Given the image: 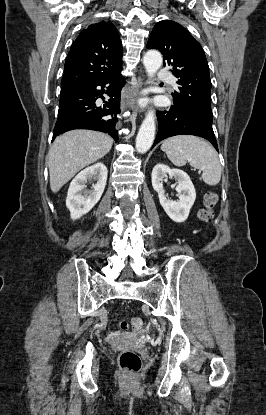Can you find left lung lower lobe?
Here are the masks:
<instances>
[{"instance_id": "0a47b994", "label": "left lung lower lobe", "mask_w": 266, "mask_h": 415, "mask_svg": "<svg viewBox=\"0 0 266 415\" xmlns=\"http://www.w3.org/2000/svg\"><path fill=\"white\" fill-rule=\"evenodd\" d=\"M157 116L159 130L153 147L168 137L187 134L207 139L218 151L213 129L185 114L177 105L174 104L170 109L165 111H158Z\"/></svg>"}]
</instances>
